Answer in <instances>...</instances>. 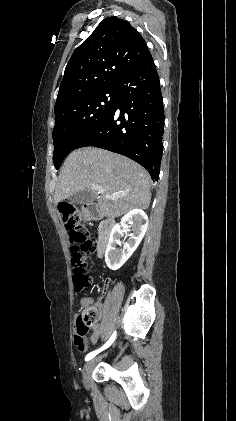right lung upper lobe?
I'll list each match as a JSON object with an SVG mask.
<instances>
[{
	"label": "right lung upper lobe",
	"instance_id": "obj_1",
	"mask_svg": "<svg viewBox=\"0 0 236 421\" xmlns=\"http://www.w3.org/2000/svg\"><path fill=\"white\" fill-rule=\"evenodd\" d=\"M151 57L146 42L129 22L104 19L71 56L55 109L75 97L116 87L121 77Z\"/></svg>",
	"mask_w": 236,
	"mask_h": 421
}]
</instances>
